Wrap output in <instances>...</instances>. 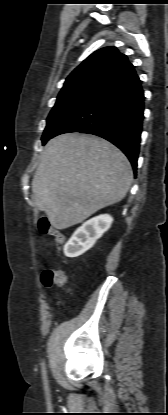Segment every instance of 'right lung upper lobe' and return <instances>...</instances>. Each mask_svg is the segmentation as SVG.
<instances>
[{"mask_svg": "<svg viewBox=\"0 0 168 415\" xmlns=\"http://www.w3.org/2000/svg\"><path fill=\"white\" fill-rule=\"evenodd\" d=\"M134 70L116 47L101 48L85 59L66 79L59 96L79 92H102Z\"/></svg>", "mask_w": 168, "mask_h": 415, "instance_id": "obj_1", "label": "right lung upper lobe"}]
</instances>
